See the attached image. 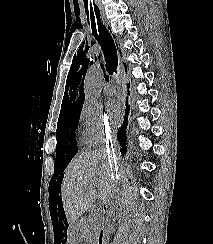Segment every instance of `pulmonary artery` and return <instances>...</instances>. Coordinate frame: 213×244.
Wrapping results in <instances>:
<instances>
[{
    "label": "pulmonary artery",
    "instance_id": "pulmonary-artery-1",
    "mask_svg": "<svg viewBox=\"0 0 213 244\" xmlns=\"http://www.w3.org/2000/svg\"><path fill=\"white\" fill-rule=\"evenodd\" d=\"M103 91L106 95L111 96L115 94V87L111 83L104 84Z\"/></svg>",
    "mask_w": 213,
    "mask_h": 244
}]
</instances>
